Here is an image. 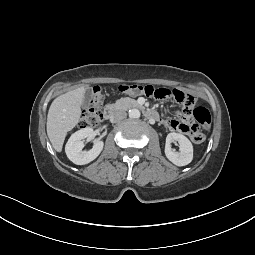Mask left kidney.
Returning <instances> with one entry per match:
<instances>
[{"label":"left kidney","instance_id":"left-kidney-1","mask_svg":"<svg viewBox=\"0 0 255 255\" xmlns=\"http://www.w3.org/2000/svg\"><path fill=\"white\" fill-rule=\"evenodd\" d=\"M177 141L180 151L171 148V143ZM165 155L169 161L177 166H185L193 160V146L190 140L179 133H169L166 137Z\"/></svg>","mask_w":255,"mask_h":255}]
</instances>
